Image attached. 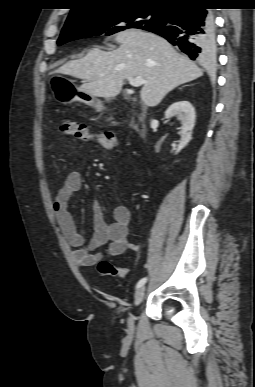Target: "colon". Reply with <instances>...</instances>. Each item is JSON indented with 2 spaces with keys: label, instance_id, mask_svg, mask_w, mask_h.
Masks as SVG:
<instances>
[{
  "label": "colon",
  "instance_id": "1",
  "mask_svg": "<svg viewBox=\"0 0 255 387\" xmlns=\"http://www.w3.org/2000/svg\"><path fill=\"white\" fill-rule=\"evenodd\" d=\"M60 131L66 136L86 143H92L105 149H114L119 145L118 138L112 132L91 133L85 125L77 122L63 123L60 126ZM97 268L103 276L125 278L128 275V269L116 266L108 260H101Z\"/></svg>",
  "mask_w": 255,
  "mask_h": 387
}]
</instances>
